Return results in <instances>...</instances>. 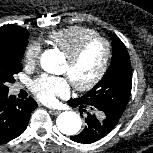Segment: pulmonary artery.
Wrapping results in <instances>:
<instances>
[{
  "mask_svg": "<svg viewBox=\"0 0 153 153\" xmlns=\"http://www.w3.org/2000/svg\"><path fill=\"white\" fill-rule=\"evenodd\" d=\"M19 89H20V86L19 85H16L15 88H14V91L17 92V91H19Z\"/></svg>",
  "mask_w": 153,
  "mask_h": 153,
  "instance_id": "obj_1",
  "label": "pulmonary artery"
}]
</instances>
